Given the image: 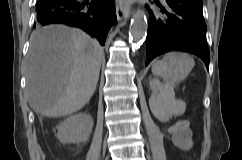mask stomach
<instances>
[{
    "label": "stomach",
    "instance_id": "0dacf381",
    "mask_svg": "<svg viewBox=\"0 0 242 160\" xmlns=\"http://www.w3.org/2000/svg\"><path fill=\"white\" fill-rule=\"evenodd\" d=\"M175 55L178 60V64L181 65V69L173 72L172 74L178 79V81H181L187 76L194 64L192 58L187 54L175 53Z\"/></svg>",
    "mask_w": 242,
    "mask_h": 160
}]
</instances>
